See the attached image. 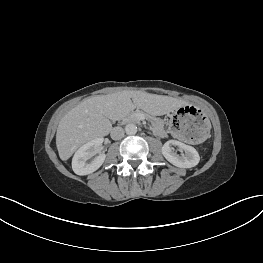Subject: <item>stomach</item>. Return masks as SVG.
Wrapping results in <instances>:
<instances>
[{"instance_id":"1","label":"stomach","mask_w":263,"mask_h":263,"mask_svg":"<svg viewBox=\"0 0 263 263\" xmlns=\"http://www.w3.org/2000/svg\"><path fill=\"white\" fill-rule=\"evenodd\" d=\"M170 127L177 138L191 146L205 143L212 132L209 117L197 106L177 109L171 117Z\"/></svg>"}]
</instances>
